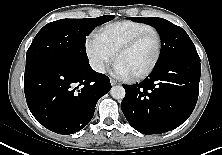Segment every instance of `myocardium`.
Masks as SVG:
<instances>
[{
    "label": "myocardium",
    "instance_id": "f54148a6",
    "mask_svg": "<svg viewBox=\"0 0 222 155\" xmlns=\"http://www.w3.org/2000/svg\"><path fill=\"white\" fill-rule=\"evenodd\" d=\"M151 34H154L157 38L158 46H157L156 57H155L154 61L152 62V64L146 70H144L143 72H141L139 74L131 75V78L133 80H141V79L146 78L157 67V65L161 59V56H162V48H163L161 34L156 29L150 30V31H145V32L135 36L134 38H132L131 40H129L128 42H126L122 46H120L115 53V58L117 60L121 54L133 49L138 43H140L144 38H146L147 36H149Z\"/></svg>",
    "mask_w": 222,
    "mask_h": 155
}]
</instances>
